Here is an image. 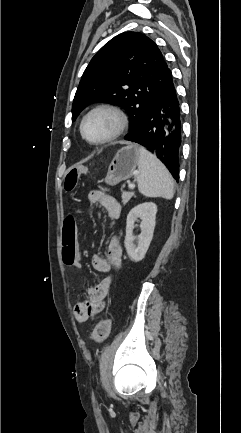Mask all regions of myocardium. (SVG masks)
<instances>
[{
  "instance_id": "f54148a6",
  "label": "myocardium",
  "mask_w": 241,
  "mask_h": 433,
  "mask_svg": "<svg viewBox=\"0 0 241 433\" xmlns=\"http://www.w3.org/2000/svg\"><path fill=\"white\" fill-rule=\"evenodd\" d=\"M98 112H106L111 114L115 119L116 125L114 130L105 138L97 141H91L84 134V125L92 115ZM127 126H128V118L125 112L116 105L105 103V104H99L94 106L83 116L80 122L79 130L82 139L85 140L88 144L93 146H101V145L109 144L115 141L116 139H118L125 132Z\"/></svg>"
}]
</instances>
